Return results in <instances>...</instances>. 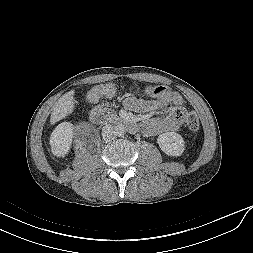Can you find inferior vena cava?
<instances>
[{
    "label": "inferior vena cava",
    "instance_id": "inferior-vena-cava-1",
    "mask_svg": "<svg viewBox=\"0 0 253 253\" xmlns=\"http://www.w3.org/2000/svg\"><path fill=\"white\" fill-rule=\"evenodd\" d=\"M102 137L106 141L114 139V137H115L114 126H112V125L104 126L102 129Z\"/></svg>",
    "mask_w": 253,
    "mask_h": 253
}]
</instances>
